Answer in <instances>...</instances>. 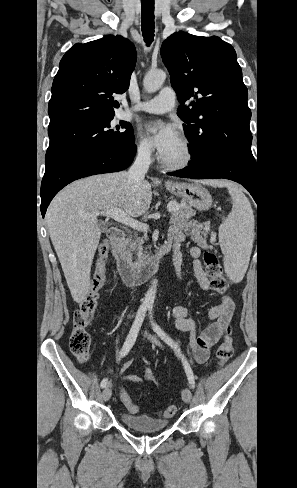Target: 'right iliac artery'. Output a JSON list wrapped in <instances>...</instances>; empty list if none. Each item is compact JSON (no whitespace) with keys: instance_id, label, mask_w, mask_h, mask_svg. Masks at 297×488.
<instances>
[{"instance_id":"1","label":"right iliac artery","mask_w":297,"mask_h":488,"mask_svg":"<svg viewBox=\"0 0 297 488\" xmlns=\"http://www.w3.org/2000/svg\"><path fill=\"white\" fill-rule=\"evenodd\" d=\"M145 313H146V307L144 306H141L137 312V315H136V318H135V321L129 331V334L127 335V338L123 344V347L120 351V355L119 357H124L125 355L128 354V352L131 350L132 346L134 345L135 341H136V338L138 336V333H139V330L141 328V325L144 321V318H145ZM107 382H108V379L107 378H104L102 381H101V384L100 386L102 388L106 387L107 385Z\"/></svg>"}]
</instances>
